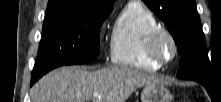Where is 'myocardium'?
Segmentation results:
<instances>
[{"mask_svg":"<svg viewBox=\"0 0 221 102\" xmlns=\"http://www.w3.org/2000/svg\"><path fill=\"white\" fill-rule=\"evenodd\" d=\"M164 41L169 42L172 47V54L168 58H165L160 51ZM145 51L147 57L161 67L174 61L178 53V46L173 35L167 29L159 27L148 34L145 42Z\"/></svg>","mask_w":221,"mask_h":102,"instance_id":"f54148a6","label":"myocardium"}]
</instances>
